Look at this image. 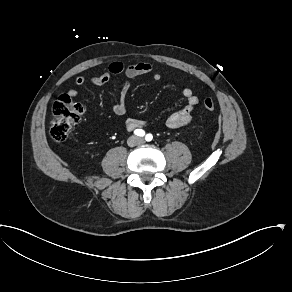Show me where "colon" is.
I'll list each match as a JSON object with an SVG mask.
<instances>
[{"instance_id":"1","label":"colon","mask_w":292,"mask_h":292,"mask_svg":"<svg viewBox=\"0 0 292 292\" xmlns=\"http://www.w3.org/2000/svg\"><path fill=\"white\" fill-rule=\"evenodd\" d=\"M203 108L206 112L214 111V99L206 97L203 100ZM84 113L85 110L80 103L74 102L67 94L59 95L52 109L51 137L58 142L64 141L72 128L81 122Z\"/></svg>"}]
</instances>
